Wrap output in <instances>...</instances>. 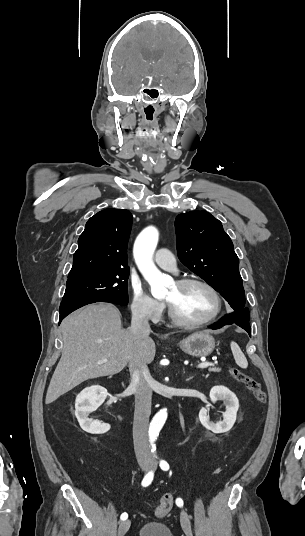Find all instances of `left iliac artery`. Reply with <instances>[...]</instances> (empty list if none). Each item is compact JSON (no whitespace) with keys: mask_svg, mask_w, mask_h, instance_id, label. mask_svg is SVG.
I'll list each match as a JSON object with an SVG mask.
<instances>
[{"mask_svg":"<svg viewBox=\"0 0 305 536\" xmlns=\"http://www.w3.org/2000/svg\"><path fill=\"white\" fill-rule=\"evenodd\" d=\"M160 467H161L162 470H165V471H166V470L169 469V464H168L166 461L161 460V461H160ZM176 504H177L178 506H183V501H182V499L178 498V499L176 500Z\"/></svg>","mask_w":305,"mask_h":536,"instance_id":"left-iliac-artery-1","label":"left iliac artery"}]
</instances>
